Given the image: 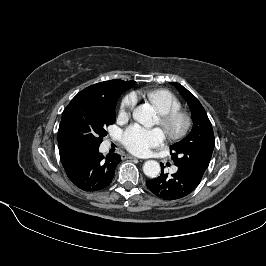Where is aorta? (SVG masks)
<instances>
[{"instance_id":"762f6f07","label":"aorta","mask_w":266,"mask_h":266,"mask_svg":"<svg viewBox=\"0 0 266 266\" xmlns=\"http://www.w3.org/2000/svg\"><path fill=\"white\" fill-rule=\"evenodd\" d=\"M133 118L140 124L151 127L156 123V114L150 104L137 106L133 111ZM161 168L157 161L148 160L143 165V172L150 178H155L160 174Z\"/></svg>"}]
</instances>
